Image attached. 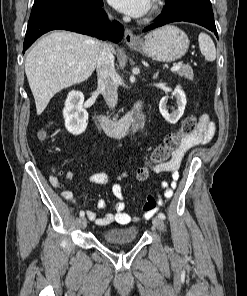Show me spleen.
<instances>
[{"label": "spleen", "instance_id": "spleen-1", "mask_svg": "<svg viewBox=\"0 0 247 296\" xmlns=\"http://www.w3.org/2000/svg\"><path fill=\"white\" fill-rule=\"evenodd\" d=\"M199 48L207 61H214L216 59V48L209 35L200 33L198 37Z\"/></svg>", "mask_w": 247, "mask_h": 296}]
</instances>
